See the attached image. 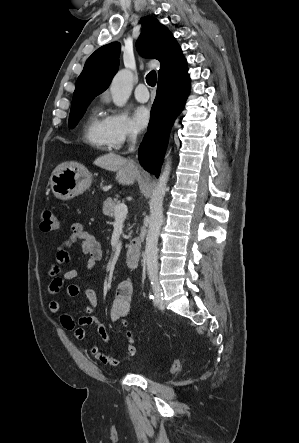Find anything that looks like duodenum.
<instances>
[{"label":"duodenum","instance_id":"410a0bca","mask_svg":"<svg viewBox=\"0 0 299 443\" xmlns=\"http://www.w3.org/2000/svg\"><path fill=\"white\" fill-rule=\"evenodd\" d=\"M142 244L139 238H134L127 247L126 259L131 267H136L141 258Z\"/></svg>","mask_w":299,"mask_h":443}]
</instances>
